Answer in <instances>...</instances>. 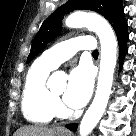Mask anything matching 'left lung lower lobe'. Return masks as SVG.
<instances>
[{"label":"left lung lower lobe","instance_id":"0a47b994","mask_svg":"<svg viewBox=\"0 0 136 136\" xmlns=\"http://www.w3.org/2000/svg\"><path fill=\"white\" fill-rule=\"evenodd\" d=\"M115 33L118 38V43H119V60H120V68L123 64L124 56L127 53V41H128V34H127V22L124 19L120 25L115 29ZM70 130H76L77 124H71L66 126Z\"/></svg>","mask_w":136,"mask_h":136}]
</instances>
